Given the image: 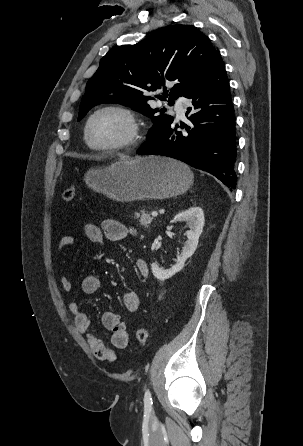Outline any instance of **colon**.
I'll return each instance as SVG.
<instances>
[{"mask_svg": "<svg viewBox=\"0 0 303 446\" xmlns=\"http://www.w3.org/2000/svg\"><path fill=\"white\" fill-rule=\"evenodd\" d=\"M76 196V189L74 186L66 187L62 192V198L66 202L74 201ZM149 337L148 330L145 327H138L135 330V343L137 347H141L146 344Z\"/></svg>", "mask_w": 303, "mask_h": 446, "instance_id": "obj_1", "label": "colon"}]
</instances>
